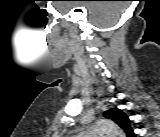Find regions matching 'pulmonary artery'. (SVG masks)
Masks as SVG:
<instances>
[{"label": "pulmonary artery", "mask_w": 160, "mask_h": 137, "mask_svg": "<svg viewBox=\"0 0 160 137\" xmlns=\"http://www.w3.org/2000/svg\"><path fill=\"white\" fill-rule=\"evenodd\" d=\"M76 137H105V136L99 131H87L78 134Z\"/></svg>", "instance_id": "e3ab8cb5"}]
</instances>
